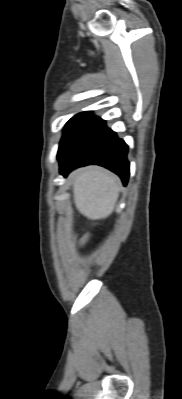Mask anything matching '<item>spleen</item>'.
<instances>
[{
    "label": "spleen",
    "mask_w": 182,
    "mask_h": 399,
    "mask_svg": "<svg viewBox=\"0 0 182 399\" xmlns=\"http://www.w3.org/2000/svg\"><path fill=\"white\" fill-rule=\"evenodd\" d=\"M119 191V179L104 169L90 167L74 175L75 205L89 219L109 216L114 211Z\"/></svg>",
    "instance_id": "1"
}]
</instances>
